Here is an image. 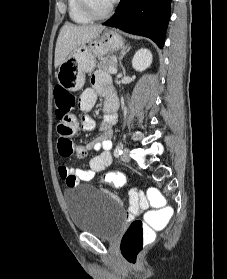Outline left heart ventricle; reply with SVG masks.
Instances as JSON below:
<instances>
[{
	"label": "left heart ventricle",
	"mask_w": 227,
	"mask_h": 279,
	"mask_svg": "<svg viewBox=\"0 0 227 279\" xmlns=\"http://www.w3.org/2000/svg\"><path fill=\"white\" fill-rule=\"evenodd\" d=\"M91 8L98 14H102L107 11L112 3V0H89Z\"/></svg>",
	"instance_id": "obj_1"
}]
</instances>
